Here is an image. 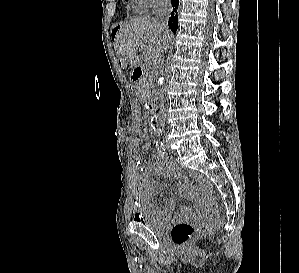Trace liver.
I'll list each match as a JSON object with an SVG mask.
<instances>
[{"label": "liver", "instance_id": "6515ba94", "mask_svg": "<svg viewBox=\"0 0 299 273\" xmlns=\"http://www.w3.org/2000/svg\"><path fill=\"white\" fill-rule=\"evenodd\" d=\"M172 35L164 31L154 18L138 17L120 24L115 36L114 49L121 61L123 69L127 68L128 62L137 67L142 57L137 55L141 45H146L147 57L157 60L169 46Z\"/></svg>", "mask_w": 299, "mask_h": 273}]
</instances>
